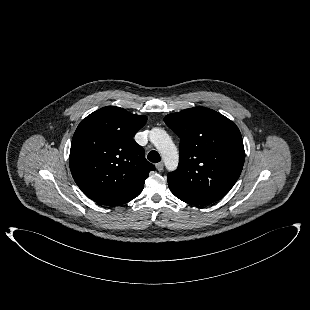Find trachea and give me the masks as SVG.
<instances>
[{"label":"trachea","instance_id":"obj_1","mask_svg":"<svg viewBox=\"0 0 310 310\" xmlns=\"http://www.w3.org/2000/svg\"><path fill=\"white\" fill-rule=\"evenodd\" d=\"M147 158H148L151 162H153V163H157V162H160V161H161V157H160L159 153H158L157 151H154V150H152V151L148 154Z\"/></svg>","mask_w":310,"mask_h":310}]
</instances>
